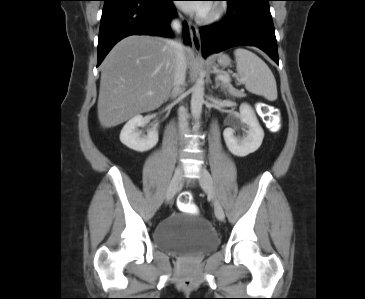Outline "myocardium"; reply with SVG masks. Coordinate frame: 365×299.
Segmentation results:
<instances>
[{"mask_svg": "<svg viewBox=\"0 0 365 299\" xmlns=\"http://www.w3.org/2000/svg\"><path fill=\"white\" fill-rule=\"evenodd\" d=\"M227 12V5L224 2H215L209 9L200 15V21L204 23H214L221 20Z\"/></svg>", "mask_w": 365, "mask_h": 299, "instance_id": "obj_1", "label": "myocardium"}]
</instances>
